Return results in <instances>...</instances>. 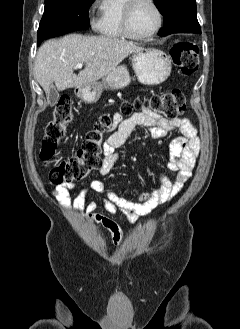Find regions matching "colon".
Instances as JSON below:
<instances>
[{
    "mask_svg": "<svg viewBox=\"0 0 240 329\" xmlns=\"http://www.w3.org/2000/svg\"><path fill=\"white\" fill-rule=\"evenodd\" d=\"M170 55L174 65L185 75L196 73L199 67V47L191 41L177 40ZM149 109L162 113L169 119H175L185 112L186 95L181 90H171L153 95L133 104L126 103L121 107L122 116H131L133 109ZM74 118L71 100L62 96L54 109L52 119L45 127L40 156L49 171V179L54 184H70L85 179L91 170L97 168L102 153V134L112 125L109 115L100 117L98 123L81 141L77 153L62 158L58 153V145L65 137L67 127Z\"/></svg>",
    "mask_w": 240,
    "mask_h": 329,
    "instance_id": "1",
    "label": "colon"
}]
</instances>
